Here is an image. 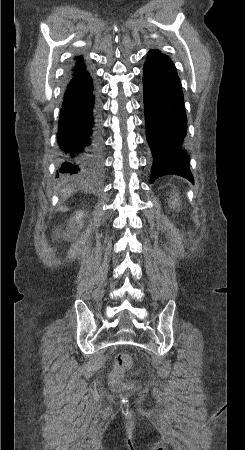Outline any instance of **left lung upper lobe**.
Masks as SVG:
<instances>
[{
  "label": "left lung upper lobe",
  "instance_id": "obj_1",
  "mask_svg": "<svg viewBox=\"0 0 245 450\" xmlns=\"http://www.w3.org/2000/svg\"><path fill=\"white\" fill-rule=\"evenodd\" d=\"M159 56H166V55L161 54V52L159 50H150L148 53L147 59L155 58V57H159Z\"/></svg>",
  "mask_w": 245,
  "mask_h": 450
}]
</instances>
